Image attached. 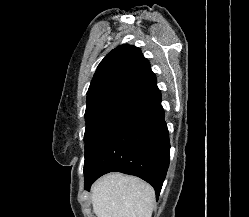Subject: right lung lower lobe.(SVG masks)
Here are the masks:
<instances>
[{
    "instance_id": "obj_1",
    "label": "right lung lower lobe",
    "mask_w": 249,
    "mask_h": 217,
    "mask_svg": "<svg viewBox=\"0 0 249 217\" xmlns=\"http://www.w3.org/2000/svg\"><path fill=\"white\" fill-rule=\"evenodd\" d=\"M170 142L156 77L150 72L106 111L85 150V188L109 172L135 175L158 199L169 166Z\"/></svg>"
}]
</instances>
